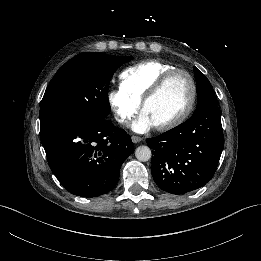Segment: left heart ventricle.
I'll return each instance as SVG.
<instances>
[{
    "label": "left heart ventricle",
    "mask_w": 261,
    "mask_h": 261,
    "mask_svg": "<svg viewBox=\"0 0 261 261\" xmlns=\"http://www.w3.org/2000/svg\"><path fill=\"white\" fill-rule=\"evenodd\" d=\"M191 86L184 74H176L162 92L144 109L155 125L163 124L180 115L188 104Z\"/></svg>",
    "instance_id": "1"
}]
</instances>
